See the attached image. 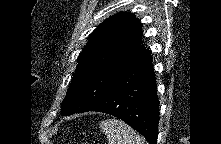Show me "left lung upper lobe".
<instances>
[{
	"label": "left lung upper lobe",
	"mask_w": 221,
	"mask_h": 144,
	"mask_svg": "<svg viewBox=\"0 0 221 144\" xmlns=\"http://www.w3.org/2000/svg\"><path fill=\"white\" fill-rule=\"evenodd\" d=\"M142 24L129 12L117 13L99 25L78 57L62 114L85 112L113 81L146 49Z\"/></svg>",
	"instance_id": "left-lung-upper-lobe-1"
}]
</instances>
